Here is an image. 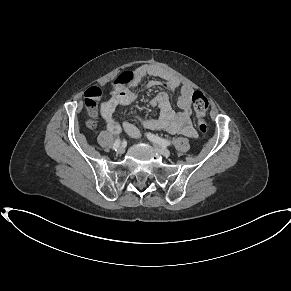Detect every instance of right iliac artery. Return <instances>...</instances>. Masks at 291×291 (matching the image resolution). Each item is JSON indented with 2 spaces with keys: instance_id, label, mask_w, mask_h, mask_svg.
Here are the masks:
<instances>
[{
  "instance_id": "obj_1",
  "label": "right iliac artery",
  "mask_w": 291,
  "mask_h": 291,
  "mask_svg": "<svg viewBox=\"0 0 291 291\" xmlns=\"http://www.w3.org/2000/svg\"><path fill=\"white\" fill-rule=\"evenodd\" d=\"M120 145V139L118 138L115 143L113 144V150L117 151L118 147Z\"/></svg>"
}]
</instances>
